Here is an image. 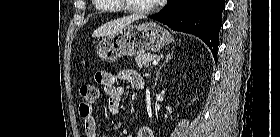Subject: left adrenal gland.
<instances>
[{
  "mask_svg": "<svg viewBox=\"0 0 280 137\" xmlns=\"http://www.w3.org/2000/svg\"><path fill=\"white\" fill-rule=\"evenodd\" d=\"M171 56H172V54H170V53H167V54H166L165 62L159 67V69H158V71H157V73H156V79H155V84H154V86H156V84H157L160 70H161L162 67H163L164 65H166V63H168V61L172 58Z\"/></svg>",
  "mask_w": 280,
  "mask_h": 137,
  "instance_id": "left-adrenal-gland-1",
  "label": "left adrenal gland"
}]
</instances>
